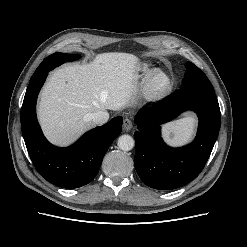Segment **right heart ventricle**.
Returning <instances> with one entry per match:
<instances>
[{
    "mask_svg": "<svg viewBox=\"0 0 247 247\" xmlns=\"http://www.w3.org/2000/svg\"><path fill=\"white\" fill-rule=\"evenodd\" d=\"M154 70L155 69L149 64H143V66L141 67L142 75H144L145 77Z\"/></svg>",
    "mask_w": 247,
    "mask_h": 247,
    "instance_id": "right-heart-ventricle-1",
    "label": "right heart ventricle"
}]
</instances>
